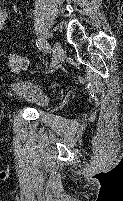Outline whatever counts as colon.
<instances>
[{"mask_svg": "<svg viewBox=\"0 0 123 201\" xmlns=\"http://www.w3.org/2000/svg\"><path fill=\"white\" fill-rule=\"evenodd\" d=\"M28 60L18 54H10L8 57V67L12 72H21L28 68Z\"/></svg>", "mask_w": 123, "mask_h": 201, "instance_id": "colon-1", "label": "colon"}]
</instances>
